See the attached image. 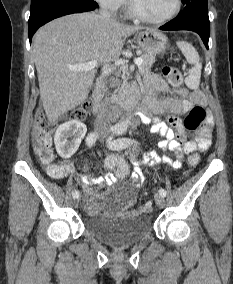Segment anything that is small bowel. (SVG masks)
Masks as SVG:
<instances>
[{"label":"small bowel","mask_w":233,"mask_h":284,"mask_svg":"<svg viewBox=\"0 0 233 284\" xmlns=\"http://www.w3.org/2000/svg\"><path fill=\"white\" fill-rule=\"evenodd\" d=\"M146 98L144 104L139 108L137 116L146 125L151 126V130L158 133L163 139L159 142V147L164 151H172L176 157L174 160L167 155L160 156L156 151H148L143 156L136 153L131 154V161L134 164L131 177L134 182L142 183L144 174L140 168L147 163L153 167L163 163L179 169L183 163V156L190 155L196 151L204 152L211 145V128L213 118L209 115L205 123L196 131L193 139H186L185 127L180 118L182 114L188 112L195 105H205L206 99L202 92L198 90L188 91L180 88L175 91L174 97L157 98V92H166L168 85L165 80L157 75L150 74L145 78ZM166 114V121L155 118L156 115ZM47 174L56 180L69 178L73 175L74 165L70 161L49 164L46 167ZM81 181L84 185L87 196L84 207L89 213L97 211V204L91 193L94 185H110L116 178L112 175L104 178L93 179L87 174H83Z\"/></svg>","instance_id":"1"}]
</instances>
